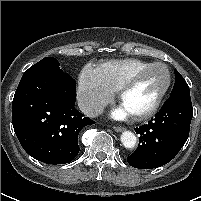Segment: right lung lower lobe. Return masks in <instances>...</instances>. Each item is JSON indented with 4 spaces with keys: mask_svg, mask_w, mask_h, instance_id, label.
I'll return each instance as SVG.
<instances>
[{
    "mask_svg": "<svg viewBox=\"0 0 201 201\" xmlns=\"http://www.w3.org/2000/svg\"><path fill=\"white\" fill-rule=\"evenodd\" d=\"M76 82L67 73L24 72L12 103V123L23 149L46 164L71 162L81 129L95 122L75 109Z\"/></svg>",
    "mask_w": 201,
    "mask_h": 201,
    "instance_id": "1",
    "label": "right lung lower lobe"
}]
</instances>
